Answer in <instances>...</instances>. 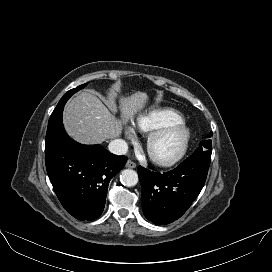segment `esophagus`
I'll use <instances>...</instances> for the list:
<instances>
[{"label":"esophagus","mask_w":272,"mask_h":272,"mask_svg":"<svg viewBox=\"0 0 272 272\" xmlns=\"http://www.w3.org/2000/svg\"><path fill=\"white\" fill-rule=\"evenodd\" d=\"M126 167L127 168H136V163H134L133 161H131V160H128L127 162H126Z\"/></svg>","instance_id":"obj_1"}]
</instances>
